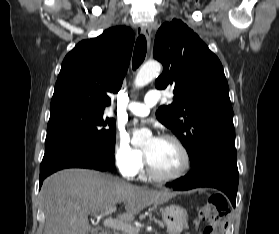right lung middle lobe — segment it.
<instances>
[{
  "label": "right lung middle lobe",
  "instance_id": "right-lung-middle-lobe-1",
  "mask_svg": "<svg viewBox=\"0 0 279 234\" xmlns=\"http://www.w3.org/2000/svg\"><path fill=\"white\" fill-rule=\"evenodd\" d=\"M116 124L104 111L66 108L51 111L45 153L65 145L86 148L111 167L114 166Z\"/></svg>",
  "mask_w": 279,
  "mask_h": 234
}]
</instances>
